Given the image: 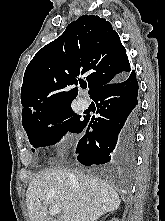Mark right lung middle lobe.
Wrapping results in <instances>:
<instances>
[{
    "mask_svg": "<svg viewBox=\"0 0 165 221\" xmlns=\"http://www.w3.org/2000/svg\"><path fill=\"white\" fill-rule=\"evenodd\" d=\"M85 122L71 106L39 115L33 121L22 123L34 148L54 145L67 131L78 132ZM34 151V149H32Z\"/></svg>",
    "mask_w": 165,
    "mask_h": 221,
    "instance_id": "right-lung-middle-lobe-1",
    "label": "right lung middle lobe"
}]
</instances>
